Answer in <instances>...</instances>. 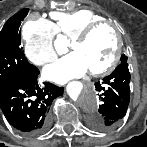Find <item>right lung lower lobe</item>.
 Wrapping results in <instances>:
<instances>
[{"mask_svg":"<svg viewBox=\"0 0 147 147\" xmlns=\"http://www.w3.org/2000/svg\"><path fill=\"white\" fill-rule=\"evenodd\" d=\"M38 68L0 84V108L7 121L27 135L40 134L49 127L48 111L54 98L64 88L46 83L40 88Z\"/></svg>","mask_w":147,"mask_h":147,"instance_id":"right-lung-lower-lobe-1","label":"right lung lower lobe"}]
</instances>
